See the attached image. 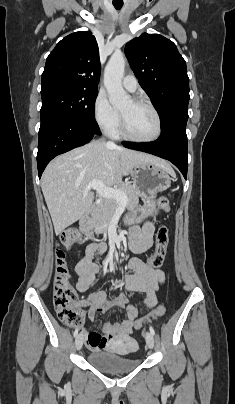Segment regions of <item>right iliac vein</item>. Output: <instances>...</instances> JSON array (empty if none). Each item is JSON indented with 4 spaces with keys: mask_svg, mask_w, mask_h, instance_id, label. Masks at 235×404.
Here are the masks:
<instances>
[{
    "mask_svg": "<svg viewBox=\"0 0 235 404\" xmlns=\"http://www.w3.org/2000/svg\"><path fill=\"white\" fill-rule=\"evenodd\" d=\"M75 344H76L77 350H80L82 348V345H83V336H82V334H79L77 336Z\"/></svg>",
    "mask_w": 235,
    "mask_h": 404,
    "instance_id": "63e3f726",
    "label": "right iliac vein"
}]
</instances>
